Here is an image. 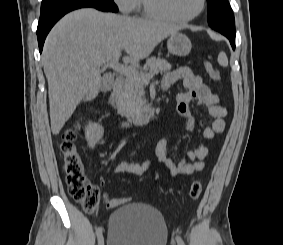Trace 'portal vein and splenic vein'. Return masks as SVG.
Masks as SVG:
<instances>
[{
	"label": "portal vein and splenic vein",
	"mask_w": 283,
	"mask_h": 245,
	"mask_svg": "<svg viewBox=\"0 0 283 245\" xmlns=\"http://www.w3.org/2000/svg\"><path fill=\"white\" fill-rule=\"evenodd\" d=\"M104 67H109L111 69H113L114 71L126 75L129 78H139L141 79L143 82L145 83H149L150 78H152L154 76V74H150V75H141L139 73L138 70H136L133 67L124 65V64H120L118 62V57H116L115 59L111 60L110 62H107Z\"/></svg>",
	"instance_id": "obj_1"
}]
</instances>
